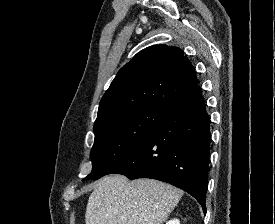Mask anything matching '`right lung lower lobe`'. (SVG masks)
<instances>
[{
  "instance_id": "right-lung-lower-lobe-1",
  "label": "right lung lower lobe",
  "mask_w": 275,
  "mask_h": 224,
  "mask_svg": "<svg viewBox=\"0 0 275 224\" xmlns=\"http://www.w3.org/2000/svg\"><path fill=\"white\" fill-rule=\"evenodd\" d=\"M210 118L197 86L169 107L146 138L109 174L152 178L192 195L206 212Z\"/></svg>"
}]
</instances>
